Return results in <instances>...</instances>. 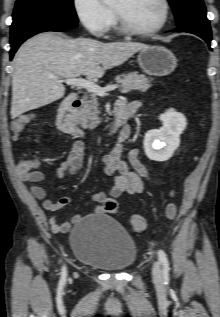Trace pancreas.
<instances>
[{"mask_svg": "<svg viewBox=\"0 0 220 317\" xmlns=\"http://www.w3.org/2000/svg\"><path fill=\"white\" fill-rule=\"evenodd\" d=\"M151 80L143 74L132 72L126 74L118 83L121 84V93H128L131 90L145 92L151 87ZM98 105V98L94 93L83 98L82 108L77 117V122L83 129H94L100 123Z\"/></svg>", "mask_w": 220, "mask_h": 317, "instance_id": "cf45deb5", "label": "pancreas"}]
</instances>
